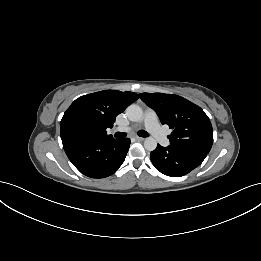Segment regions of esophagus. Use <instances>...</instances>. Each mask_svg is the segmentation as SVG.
<instances>
[{
	"label": "esophagus",
	"instance_id": "1",
	"mask_svg": "<svg viewBox=\"0 0 261 261\" xmlns=\"http://www.w3.org/2000/svg\"><path fill=\"white\" fill-rule=\"evenodd\" d=\"M135 139H136L137 141H143V140H144V138H142V137H135Z\"/></svg>",
	"mask_w": 261,
	"mask_h": 261
}]
</instances>
